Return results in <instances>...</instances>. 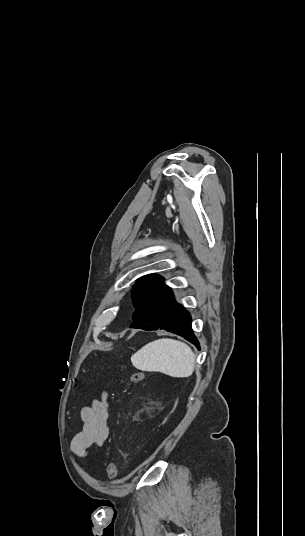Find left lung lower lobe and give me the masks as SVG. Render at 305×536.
Listing matches in <instances>:
<instances>
[{"instance_id":"left-lung-lower-lobe-1","label":"left lung lower lobe","mask_w":305,"mask_h":536,"mask_svg":"<svg viewBox=\"0 0 305 536\" xmlns=\"http://www.w3.org/2000/svg\"><path fill=\"white\" fill-rule=\"evenodd\" d=\"M131 328L143 330L165 329L181 335L200 349L199 342L191 328L192 318L184 307L178 304L171 289L166 286L136 308Z\"/></svg>"}]
</instances>
